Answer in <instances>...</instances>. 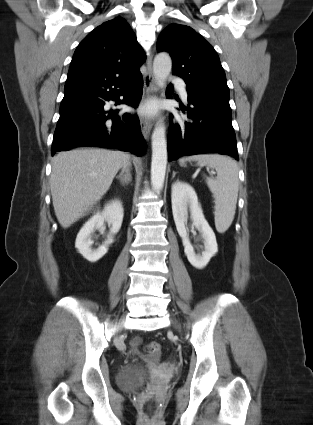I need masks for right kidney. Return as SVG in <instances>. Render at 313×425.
<instances>
[{"mask_svg": "<svg viewBox=\"0 0 313 425\" xmlns=\"http://www.w3.org/2000/svg\"><path fill=\"white\" fill-rule=\"evenodd\" d=\"M123 216L124 210L121 201L113 200L106 204L103 211L92 216L79 231L75 242V247L79 253L90 262H96L102 258L107 253L109 245L113 242V235L121 228ZM105 220L112 225L108 238L96 250H92V234L96 229H100L103 226Z\"/></svg>", "mask_w": 313, "mask_h": 425, "instance_id": "right-kidney-1", "label": "right kidney"}]
</instances>
